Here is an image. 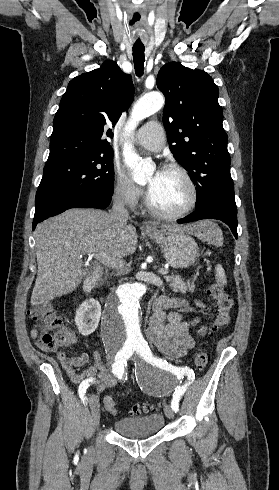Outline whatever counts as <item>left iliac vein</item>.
Masks as SVG:
<instances>
[{"mask_svg":"<svg viewBox=\"0 0 279 490\" xmlns=\"http://www.w3.org/2000/svg\"><path fill=\"white\" fill-rule=\"evenodd\" d=\"M165 414H166V416H167L168 418H170V419H174V411L171 409V407H170V406H167V407L165 408Z\"/></svg>","mask_w":279,"mask_h":490,"instance_id":"4c4485c4","label":"left iliac vein"}]
</instances>
